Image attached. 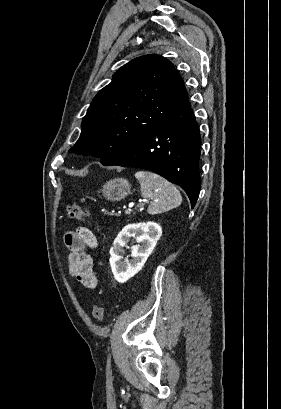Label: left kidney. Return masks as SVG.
Returning a JSON list of instances; mask_svg holds the SVG:
<instances>
[{"label":"left kidney","mask_w":281,"mask_h":409,"mask_svg":"<svg viewBox=\"0 0 281 409\" xmlns=\"http://www.w3.org/2000/svg\"><path fill=\"white\" fill-rule=\"evenodd\" d=\"M162 235V229L157 223H133V225H126L119 235H117L110 253V267L112 273L118 283H126L128 279L134 277L136 273L141 271L144 263H146L149 255H151L157 241ZM131 237L136 239V243L140 245H133L128 247ZM131 249L132 257L130 261L124 259V249ZM124 259V261H122Z\"/></svg>","instance_id":"1"}]
</instances>
